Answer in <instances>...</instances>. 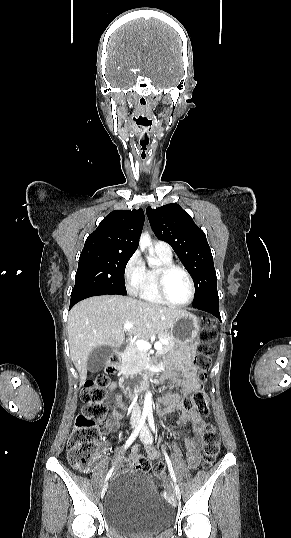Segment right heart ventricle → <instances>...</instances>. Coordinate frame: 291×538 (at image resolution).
I'll list each match as a JSON object with an SVG mask.
<instances>
[{"mask_svg":"<svg viewBox=\"0 0 291 538\" xmlns=\"http://www.w3.org/2000/svg\"><path fill=\"white\" fill-rule=\"evenodd\" d=\"M155 255L160 261V264L156 268H145V274L144 279L141 285V288L138 292V295L140 299L154 303V304H165V302L161 299V297L158 294L157 286H156V273L159 267L165 264H172L173 258L172 255H166L158 251H154Z\"/></svg>","mask_w":291,"mask_h":538,"instance_id":"1","label":"right heart ventricle"}]
</instances>
